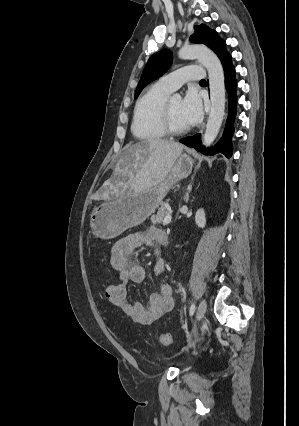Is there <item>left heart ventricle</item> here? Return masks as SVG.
Here are the masks:
<instances>
[{
	"instance_id": "obj_1",
	"label": "left heart ventricle",
	"mask_w": 299,
	"mask_h": 426,
	"mask_svg": "<svg viewBox=\"0 0 299 426\" xmlns=\"http://www.w3.org/2000/svg\"><path fill=\"white\" fill-rule=\"evenodd\" d=\"M170 113L172 123L176 127H185L187 124L184 122L181 114V100L180 99H171L170 100Z\"/></svg>"
}]
</instances>
